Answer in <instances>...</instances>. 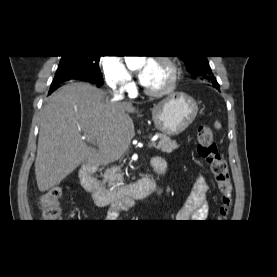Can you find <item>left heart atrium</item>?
I'll use <instances>...</instances> for the list:
<instances>
[{
	"label": "left heart atrium",
	"mask_w": 277,
	"mask_h": 277,
	"mask_svg": "<svg viewBox=\"0 0 277 277\" xmlns=\"http://www.w3.org/2000/svg\"><path fill=\"white\" fill-rule=\"evenodd\" d=\"M153 65L154 62L149 60L139 72V81L144 86L148 85Z\"/></svg>",
	"instance_id": "1"
}]
</instances>
